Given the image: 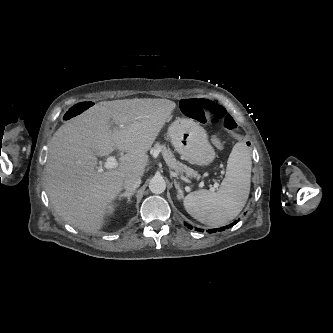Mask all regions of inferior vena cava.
Returning <instances> with one entry per match:
<instances>
[{"label":"inferior vena cava","mask_w":333,"mask_h":333,"mask_svg":"<svg viewBox=\"0 0 333 333\" xmlns=\"http://www.w3.org/2000/svg\"><path fill=\"white\" fill-rule=\"evenodd\" d=\"M141 184V178L137 175H130L125 178L123 186L124 188L131 192L135 191Z\"/></svg>","instance_id":"1"}]
</instances>
